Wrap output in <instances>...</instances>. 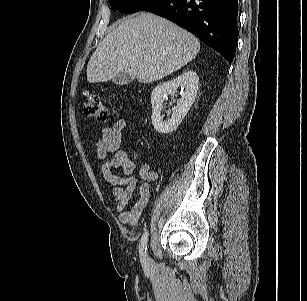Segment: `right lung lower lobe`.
<instances>
[{
  "label": "right lung lower lobe",
  "instance_id": "98d812e1",
  "mask_svg": "<svg viewBox=\"0 0 307 301\" xmlns=\"http://www.w3.org/2000/svg\"><path fill=\"white\" fill-rule=\"evenodd\" d=\"M141 11L185 28L232 63L238 40V0H155Z\"/></svg>",
  "mask_w": 307,
  "mask_h": 301
}]
</instances>
